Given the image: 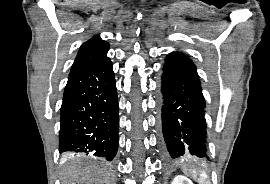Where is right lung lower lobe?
<instances>
[{"label": "right lung lower lobe", "mask_w": 270, "mask_h": 184, "mask_svg": "<svg viewBox=\"0 0 270 184\" xmlns=\"http://www.w3.org/2000/svg\"><path fill=\"white\" fill-rule=\"evenodd\" d=\"M59 152H85L108 161L118 149V99L110 60L73 70L61 106Z\"/></svg>", "instance_id": "98d812e1"}]
</instances>
